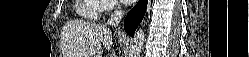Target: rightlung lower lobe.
Returning <instances> with one entry per match:
<instances>
[{"label":"right lung lower lobe","mask_w":249,"mask_h":57,"mask_svg":"<svg viewBox=\"0 0 249 57\" xmlns=\"http://www.w3.org/2000/svg\"><path fill=\"white\" fill-rule=\"evenodd\" d=\"M147 8V0H139L136 6L130 10L124 20V29L130 36L134 35L138 24L142 21Z\"/></svg>","instance_id":"1"}]
</instances>
